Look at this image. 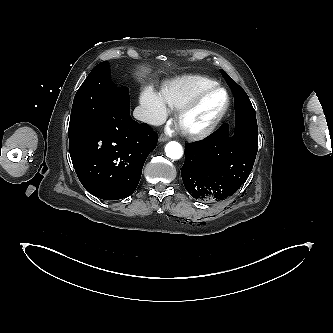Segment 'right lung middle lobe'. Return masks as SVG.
Returning <instances> with one entry per match:
<instances>
[{
  "mask_svg": "<svg viewBox=\"0 0 333 333\" xmlns=\"http://www.w3.org/2000/svg\"><path fill=\"white\" fill-rule=\"evenodd\" d=\"M119 87L111 80L109 62L98 64L78 89L70 116L69 137L89 127L103 112Z\"/></svg>",
  "mask_w": 333,
  "mask_h": 333,
  "instance_id": "obj_1",
  "label": "right lung middle lobe"
}]
</instances>
